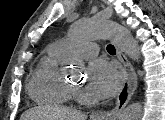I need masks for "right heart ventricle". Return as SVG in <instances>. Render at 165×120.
I'll use <instances>...</instances> for the list:
<instances>
[{"instance_id":"1","label":"right heart ventricle","mask_w":165,"mask_h":120,"mask_svg":"<svg viewBox=\"0 0 165 120\" xmlns=\"http://www.w3.org/2000/svg\"><path fill=\"white\" fill-rule=\"evenodd\" d=\"M65 58L55 46L49 47L40 58L28 84L29 94L36 102L64 104L73 98L75 91L60 74Z\"/></svg>"}]
</instances>
